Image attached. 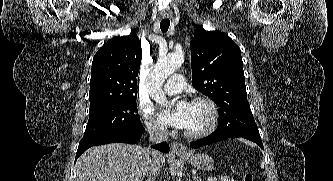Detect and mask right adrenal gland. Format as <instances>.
<instances>
[{
	"label": "right adrenal gland",
	"instance_id": "right-adrenal-gland-1",
	"mask_svg": "<svg viewBox=\"0 0 333 181\" xmlns=\"http://www.w3.org/2000/svg\"><path fill=\"white\" fill-rule=\"evenodd\" d=\"M146 181H155V178L154 177H148V179Z\"/></svg>",
	"mask_w": 333,
	"mask_h": 181
}]
</instances>
